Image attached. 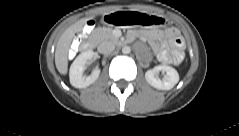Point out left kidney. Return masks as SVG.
Segmentation results:
<instances>
[{
	"mask_svg": "<svg viewBox=\"0 0 239 136\" xmlns=\"http://www.w3.org/2000/svg\"><path fill=\"white\" fill-rule=\"evenodd\" d=\"M160 71L166 73V76L162 80L158 77V73ZM145 79L152 87L156 89L170 90L178 83L179 74L171 66L158 65L155 66L153 69L146 71Z\"/></svg>",
	"mask_w": 239,
	"mask_h": 136,
	"instance_id": "obj_1",
	"label": "left kidney"
}]
</instances>
